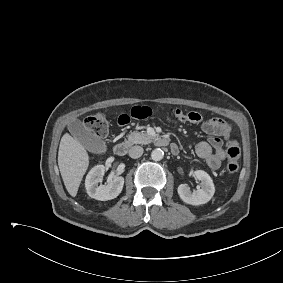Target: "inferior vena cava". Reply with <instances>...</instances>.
I'll list each match as a JSON object with an SVG mask.
<instances>
[{"mask_svg":"<svg viewBox=\"0 0 283 283\" xmlns=\"http://www.w3.org/2000/svg\"><path fill=\"white\" fill-rule=\"evenodd\" d=\"M143 154V148L141 146H133L129 149V156L131 158H139Z\"/></svg>","mask_w":283,"mask_h":283,"instance_id":"inferior-vena-cava-1","label":"inferior vena cava"}]
</instances>
